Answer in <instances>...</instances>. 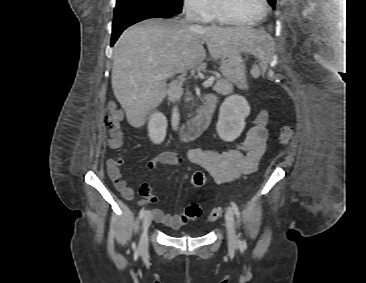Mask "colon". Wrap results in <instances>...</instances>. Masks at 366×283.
I'll use <instances>...</instances> for the list:
<instances>
[{
	"mask_svg": "<svg viewBox=\"0 0 366 283\" xmlns=\"http://www.w3.org/2000/svg\"><path fill=\"white\" fill-rule=\"evenodd\" d=\"M122 119L121 111L114 105L110 106L105 116L106 126L109 132V146L112 148H119L123 145V133L120 127ZM293 137V129L291 127H284L279 136V142L286 145ZM205 175L202 172H194L190 177V182L194 187H202L205 184ZM222 213L220 207L212 209L208 214L209 221L217 220ZM202 211L197 204H190L184 213L185 220H197L201 217Z\"/></svg>",
	"mask_w": 366,
	"mask_h": 283,
	"instance_id": "5ec220e1",
	"label": "colon"
}]
</instances>
